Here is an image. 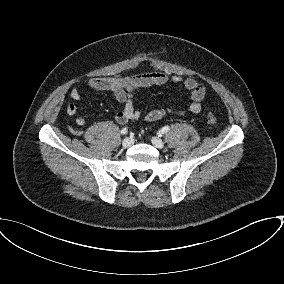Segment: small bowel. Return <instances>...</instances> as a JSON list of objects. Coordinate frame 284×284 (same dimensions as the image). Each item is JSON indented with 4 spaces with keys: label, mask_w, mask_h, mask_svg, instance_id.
<instances>
[{
    "label": "small bowel",
    "mask_w": 284,
    "mask_h": 284,
    "mask_svg": "<svg viewBox=\"0 0 284 284\" xmlns=\"http://www.w3.org/2000/svg\"><path fill=\"white\" fill-rule=\"evenodd\" d=\"M169 82L175 84L182 83L183 87L190 92L189 105L181 111H173L165 108L150 110L144 115L146 121H158L169 113L184 115L186 113H199L201 111L206 88L202 83H199L193 78L183 79L181 76H169L164 72H148L124 77H96L90 79L88 85L96 91L112 93L116 100L123 104V109L116 114L115 119L118 124L125 125L129 121L137 120L142 116L141 111L136 109L133 104V93L136 90L150 86L165 85ZM70 97L74 101H79L84 96L77 88H73L70 91ZM66 112L69 115L76 114L77 105L73 102L69 103L66 107ZM76 123L79 126H83L86 123V119L79 116L76 119Z\"/></svg>",
    "instance_id": "c3829d8e"
}]
</instances>
